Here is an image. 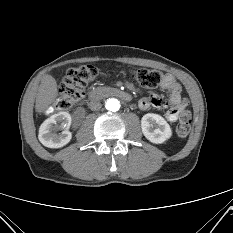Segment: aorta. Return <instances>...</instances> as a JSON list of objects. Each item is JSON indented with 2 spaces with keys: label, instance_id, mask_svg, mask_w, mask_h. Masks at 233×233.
I'll return each instance as SVG.
<instances>
[{
  "label": "aorta",
  "instance_id": "762f6f07",
  "mask_svg": "<svg viewBox=\"0 0 233 233\" xmlns=\"http://www.w3.org/2000/svg\"><path fill=\"white\" fill-rule=\"evenodd\" d=\"M105 107L107 110L115 112L119 110L120 102L117 99L111 98L107 100Z\"/></svg>",
  "mask_w": 233,
  "mask_h": 233
}]
</instances>
